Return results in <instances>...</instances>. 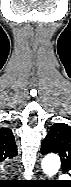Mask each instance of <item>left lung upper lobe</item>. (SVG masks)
Wrapping results in <instances>:
<instances>
[{
	"label": "left lung upper lobe",
	"instance_id": "1",
	"mask_svg": "<svg viewBox=\"0 0 71 187\" xmlns=\"http://www.w3.org/2000/svg\"><path fill=\"white\" fill-rule=\"evenodd\" d=\"M41 153L59 154L62 170L71 171V127L65 123H55L42 142Z\"/></svg>",
	"mask_w": 71,
	"mask_h": 187
}]
</instances>
